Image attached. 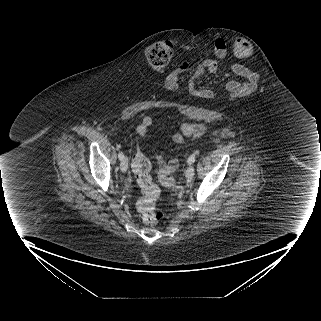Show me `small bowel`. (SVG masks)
<instances>
[{
    "instance_id": "c3829d8e",
    "label": "small bowel",
    "mask_w": 321,
    "mask_h": 321,
    "mask_svg": "<svg viewBox=\"0 0 321 321\" xmlns=\"http://www.w3.org/2000/svg\"><path fill=\"white\" fill-rule=\"evenodd\" d=\"M214 55L215 59H207L195 67H192L189 63L181 64L177 69L167 75L166 84L171 88H176L178 87L180 78L183 75L190 73L188 82L189 85H193L197 78L205 72H216L218 70L220 61L224 60L227 55V47L223 39H217L214 42ZM230 70L235 75L246 78V80L241 82L235 80L226 84L224 92L230 96L243 98L259 88L261 79V74L259 71L251 69L250 66L239 61L232 62L230 65ZM188 95L191 96L192 99H203L204 97L214 98L215 91L201 90L200 92H196V87L190 86L188 89ZM152 125L153 118L150 115H146L142 119L141 123L137 126V135L140 138H145ZM207 132L208 127L205 125L183 123L181 124L179 131L172 136V140L176 144H184L187 139L200 137ZM155 159L157 161L159 175L161 177L176 171L179 167L178 159H171L167 161L161 154H155Z\"/></svg>"
}]
</instances>
